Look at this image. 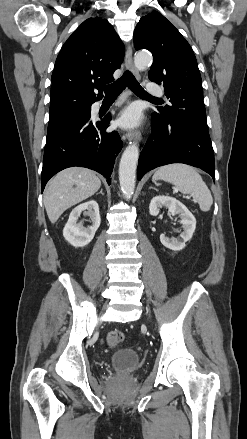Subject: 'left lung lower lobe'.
Returning a JSON list of instances; mask_svg holds the SVG:
<instances>
[{
  "mask_svg": "<svg viewBox=\"0 0 247 439\" xmlns=\"http://www.w3.org/2000/svg\"><path fill=\"white\" fill-rule=\"evenodd\" d=\"M184 163L215 178L214 153L208 126L190 118L162 120L152 114V132L138 162L137 178L159 166Z\"/></svg>",
  "mask_w": 247,
  "mask_h": 439,
  "instance_id": "left-lung-lower-lobe-1",
  "label": "left lung lower lobe"
}]
</instances>
